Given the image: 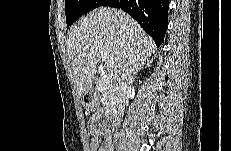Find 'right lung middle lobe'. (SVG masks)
Returning a JSON list of instances; mask_svg holds the SVG:
<instances>
[{"label":"right lung middle lobe","instance_id":"dd1d6c3e","mask_svg":"<svg viewBox=\"0 0 231 151\" xmlns=\"http://www.w3.org/2000/svg\"><path fill=\"white\" fill-rule=\"evenodd\" d=\"M105 0H66L65 12L67 26H70L75 20L85 13L102 6Z\"/></svg>","mask_w":231,"mask_h":151}]
</instances>
